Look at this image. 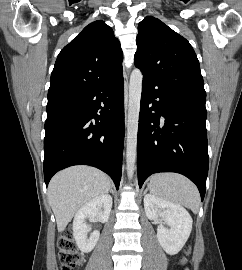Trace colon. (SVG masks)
<instances>
[{"label": "colon", "instance_id": "5ec220e1", "mask_svg": "<svg viewBox=\"0 0 242 270\" xmlns=\"http://www.w3.org/2000/svg\"><path fill=\"white\" fill-rule=\"evenodd\" d=\"M190 249L186 248V253ZM58 252L61 262V270H74L82 262V255L78 251L73 235L70 230H66L58 240Z\"/></svg>", "mask_w": 242, "mask_h": 270}]
</instances>
